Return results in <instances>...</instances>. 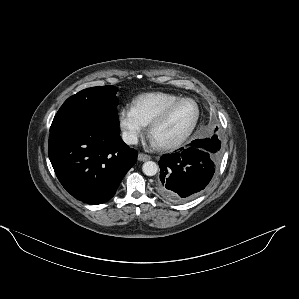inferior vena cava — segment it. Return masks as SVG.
<instances>
[{
    "mask_svg": "<svg viewBox=\"0 0 299 299\" xmlns=\"http://www.w3.org/2000/svg\"><path fill=\"white\" fill-rule=\"evenodd\" d=\"M122 139L126 144H137L138 143V138L135 133L129 132V131H124L122 133Z\"/></svg>",
    "mask_w": 299,
    "mask_h": 299,
    "instance_id": "obj_1",
    "label": "inferior vena cava"
}]
</instances>
